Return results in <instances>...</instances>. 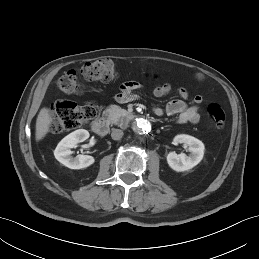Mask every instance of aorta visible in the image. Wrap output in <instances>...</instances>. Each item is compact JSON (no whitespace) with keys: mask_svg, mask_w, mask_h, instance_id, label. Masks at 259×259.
<instances>
[{"mask_svg":"<svg viewBox=\"0 0 259 259\" xmlns=\"http://www.w3.org/2000/svg\"><path fill=\"white\" fill-rule=\"evenodd\" d=\"M133 129L137 134L145 135L151 131V125L148 120L139 118L134 122Z\"/></svg>","mask_w":259,"mask_h":259,"instance_id":"1","label":"aorta"}]
</instances>
